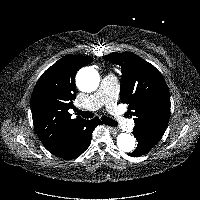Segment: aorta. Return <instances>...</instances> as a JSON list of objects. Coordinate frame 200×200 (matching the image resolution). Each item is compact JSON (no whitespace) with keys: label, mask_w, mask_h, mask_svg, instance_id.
Listing matches in <instances>:
<instances>
[{"label":"aorta","mask_w":200,"mask_h":200,"mask_svg":"<svg viewBox=\"0 0 200 200\" xmlns=\"http://www.w3.org/2000/svg\"><path fill=\"white\" fill-rule=\"evenodd\" d=\"M100 82L98 72L92 67H84L79 70L76 76L78 88L83 92L95 91ZM117 146L123 152H131L135 149V138L127 133L117 136Z\"/></svg>","instance_id":"aorta-1"}]
</instances>
